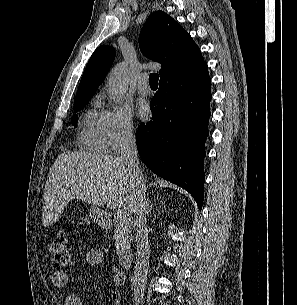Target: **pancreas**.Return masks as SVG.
I'll list each match as a JSON object with an SVG mask.
<instances>
[{
	"instance_id": "pancreas-1",
	"label": "pancreas",
	"mask_w": 297,
	"mask_h": 305,
	"mask_svg": "<svg viewBox=\"0 0 297 305\" xmlns=\"http://www.w3.org/2000/svg\"><path fill=\"white\" fill-rule=\"evenodd\" d=\"M114 235L115 246L117 254H121L124 248L128 246L131 242V231H130V221L129 220H120L117 218L114 224Z\"/></svg>"
}]
</instances>
